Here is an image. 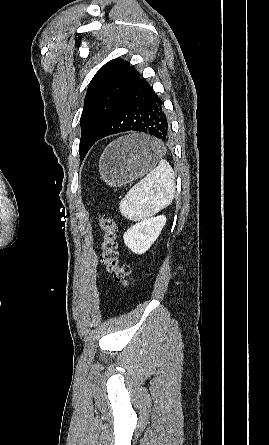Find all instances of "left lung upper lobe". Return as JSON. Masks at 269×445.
Wrapping results in <instances>:
<instances>
[{"mask_svg": "<svg viewBox=\"0 0 269 445\" xmlns=\"http://www.w3.org/2000/svg\"><path fill=\"white\" fill-rule=\"evenodd\" d=\"M134 71L129 62L117 58L103 65L92 78L80 118V160L86 156L111 116Z\"/></svg>", "mask_w": 269, "mask_h": 445, "instance_id": "1", "label": "left lung upper lobe"}]
</instances>
